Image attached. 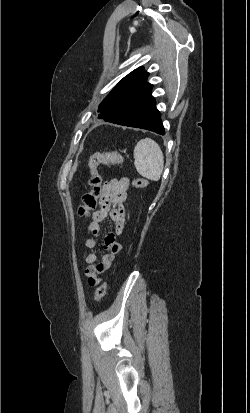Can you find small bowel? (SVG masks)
I'll list each match as a JSON object with an SVG mask.
<instances>
[{
    "label": "small bowel",
    "instance_id": "1",
    "mask_svg": "<svg viewBox=\"0 0 250 413\" xmlns=\"http://www.w3.org/2000/svg\"><path fill=\"white\" fill-rule=\"evenodd\" d=\"M128 188V178H115L106 183L98 208L92 214V222L86 227V234L89 238L86 239L84 246L88 249H94L97 246L95 238L100 233V222L109 217L113 224L112 231L104 240L106 253L100 259L95 253H89L84 259L87 264L85 276L88 285L91 287L101 282L100 274L112 267L117 254L122 250V245L116 239L124 229V203L127 199Z\"/></svg>",
    "mask_w": 250,
    "mask_h": 413
}]
</instances>
